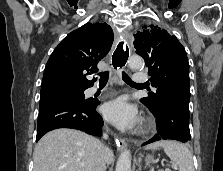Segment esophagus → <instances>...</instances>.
<instances>
[{"label":"esophagus","mask_w":223,"mask_h":171,"mask_svg":"<svg viewBox=\"0 0 223 171\" xmlns=\"http://www.w3.org/2000/svg\"><path fill=\"white\" fill-rule=\"evenodd\" d=\"M130 50L131 45H129V39L126 37L121 38L120 41H118L116 51H113L111 60V67L115 74L120 75L121 69L126 68L127 60H129L130 56ZM115 141L118 148H124L127 146L126 140L123 138H116Z\"/></svg>","instance_id":"obj_1"}]
</instances>
